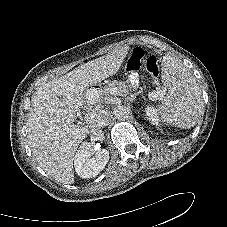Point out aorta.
<instances>
[{
  "mask_svg": "<svg viewBox=\"0 0 227 227\" xmlns=\"http://www.w3.org/2000/svg\"><path fill=\"white\" fill-rule=\"evenodd\" d=\"M113 114L118 120H126L129 118L131 114V110L129 107L124 105H118L114 108Z\"/></svg>",
  "mask_w": 227,
  "mask_h": 227,
  "instance_id": "obj_1",
  "label": "aorta"
}]
</instances>
